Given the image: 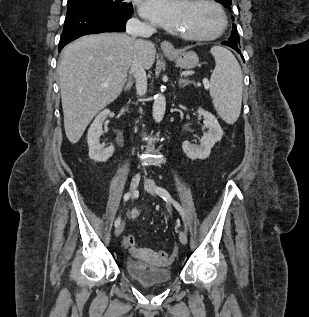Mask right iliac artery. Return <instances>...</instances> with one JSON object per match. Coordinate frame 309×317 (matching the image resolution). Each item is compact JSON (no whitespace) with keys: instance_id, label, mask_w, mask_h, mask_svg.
Instances as JSON below:
<instances>
[{"instance_id":"82829eb1","label":"right iliac artery","mask_w":309,"mask_h":317,"mask_svg":"<svg viewBox=\"0 0 309 317\" xmlns=\"http://www.w3.org/2000/svg\"><path fill=\"white\" fill-rule=\"evenodd\" d=\"M131 196V193L130 192H127L125 195H124V201H128L129 198ZM121 222V218L118 217L116 220H115V226L117 227Z\"/></svg>"}]
</instances>
